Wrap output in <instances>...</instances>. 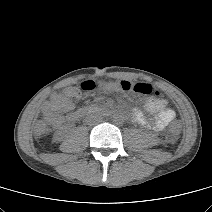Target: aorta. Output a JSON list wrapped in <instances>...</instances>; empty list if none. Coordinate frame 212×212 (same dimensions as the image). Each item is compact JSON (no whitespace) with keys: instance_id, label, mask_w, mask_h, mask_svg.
<instances>
[{"instance_id":"1","label":"aorta","mask_w":212,"mask_h":212,"mask_svg":"<svg viewBox=\"0 0 212 212\" xmlns=\"http://www.w3.org/2000/svg\"><path fill=\"white\" fill-rule=\"evenodd\" d=\"M122 119H123V117L119 113L113 115V120L116 121V122H120Z\"/></svg>"}]
</instances>
